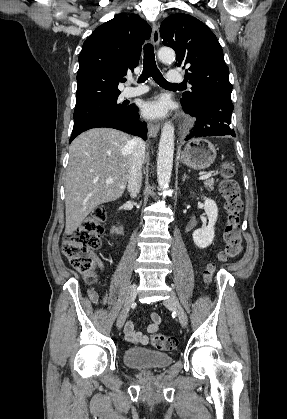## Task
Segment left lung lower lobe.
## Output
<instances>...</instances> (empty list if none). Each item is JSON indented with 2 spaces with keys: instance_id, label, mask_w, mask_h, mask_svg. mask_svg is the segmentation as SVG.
<instances>
[{
  "instance_id": "1",
  "label": "left lung lower lobe",
  "mask_w": 287,
  "mask_h": 419,
  "mask_svg": "<svg viewBox=\"0 0 287 419\" xmlns=\"http://www.w3.org/2000/svg\"><path fill=\"white\" fill-rule=\"evenodd\" d=\"M182 107L184 111L197 119L185 138L186 141L210 136L235 137L236 134L230 128L231 114L234 109L230 98L210 96L203 98L192 108Z\"/></svg>"
}]
</instances>
